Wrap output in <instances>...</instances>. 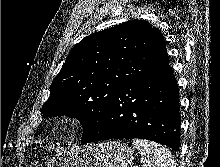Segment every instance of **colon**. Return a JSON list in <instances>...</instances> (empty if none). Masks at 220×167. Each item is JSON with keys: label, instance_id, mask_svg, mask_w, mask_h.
I'll use <instances>...</instances> for the list:
<instances>
[{"label": "colon", "instance_id": "5ec220e1", "mask_svg": "<svg viewBox=\"0 0 220 167\" xmlns=\"http://www.w3.org/2000/svg\"><path fill=\"white\" fill-rule=\"evenodd\" d=\"M36 167H44V166H42V165H37Z\"/></svg>", "mask_w": 220, "mask_h": 167}]
</instances>
